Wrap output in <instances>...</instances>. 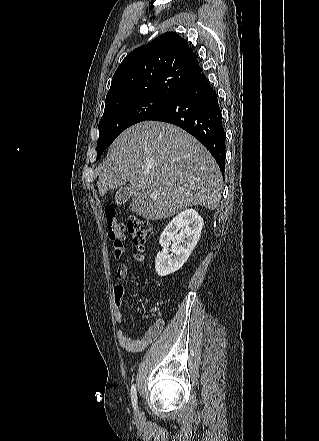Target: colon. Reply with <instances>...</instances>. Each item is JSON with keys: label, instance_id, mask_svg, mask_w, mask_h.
I'll list each match as a JSON object with an SVG mask.
<instances>
[{"label": "colon", "instance_id": "5ec220e1", "mask_svg": "<svg viewBox=\"0 0 319 441\" xmlns=\"http://www.w3.org/2000/svg\"><path fill=\"white\" fill-rule=\"evenodd\" d=\"M105 216L108 235L114 245L115 256L119 257L123 250V240L125 238L124 226L117 221L115 208L111 204L106 205ZM127 230L133 244L138 249H143L150 233L149 222L143 218L132 216L128 222Z\"/></svg>", "mask_w": 319, "mask_h": 441}]
</instances>
